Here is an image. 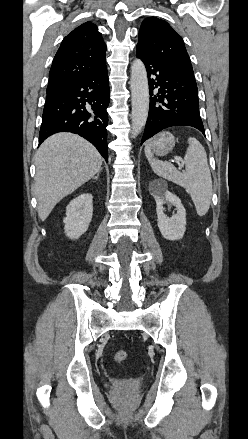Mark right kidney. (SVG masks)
I'll return each mask as SVG.
<instances>
[{
	"label": "right kidney",
	"instance_id": "1",
	"mask_svg": "<svg viewBox=\"0 0 248 439\" xmlns=\"http://www.w3.org/2000/svg\"><path fill=\"white\" fill-rule=\"evenodd\" d=\"M93 196L83 193L74 198L66 207L64 218V230L70 239H78L89 227L93 214Z\"/></svg>",
	"mask_w": 248,
	"mask_h": 439
}]
</instances>
